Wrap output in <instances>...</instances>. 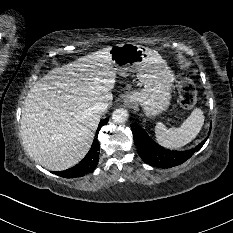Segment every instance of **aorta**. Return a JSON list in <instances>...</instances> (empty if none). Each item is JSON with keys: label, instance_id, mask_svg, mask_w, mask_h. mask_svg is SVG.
<instances>
[{"label": "aorta", "instance_id": "obj_1", "mask_svg": "<svg viewBox=\"0 0 233 233\" xmlns=\"http://www.w3.org/2000/svg\"><path fill=\"white\" fill-rule=\"evenodd\" d=\"M112 119H113L114 123H117V124L125 123L128 119L127 110L124 108H118V109L114 110V112L112 114Z\"/></svg>", "mask_w": 233, "mask_h": 233}]
</instances>
